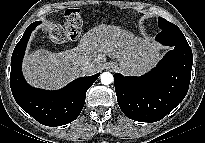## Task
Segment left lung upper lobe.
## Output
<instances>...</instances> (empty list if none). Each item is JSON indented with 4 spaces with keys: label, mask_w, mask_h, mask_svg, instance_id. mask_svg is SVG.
I'll return each instance as SVG.
<instances>
[{
    "label": "left lung upper lobe",
    "mask_w": 205,
    "mask_h": 143,
    "mask_svg": "<svg viewBox=\"0 0 205 143\" xmlns=\"http://www.w3.org/2000/svg\"><path fill=\"white\" fill-rule=\"evenodd\" d=\"M158 26L161 30L178 28L176 25L168 22L167 20H165L164 18H161V17L158 18Z\"/></svg>",
    "instance_id": "obj_1"
}]
</instances>
